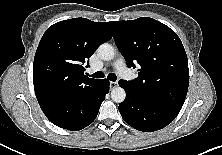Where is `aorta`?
I'll use <instances>...</instances> for the list:
<instances>
[{
    "mask_svg": "<svg viewBox=\"0 0 222 155\" xmlns=\"http://www.w3.org/2000/svg\"><path fill=\"white\" fill-rule=\"evenodd\" d=\"M98 54L103 60H111L114 57V48L108 43H103L98 48ZM111 98L116 103H122L126 98L125 90L119 86L111 91Z\"/></svg>",
    "mask_w": 222,
    "mask_h": 155,
    "instance_id": "1",
    "label": "aorta"
}]
</instances>
